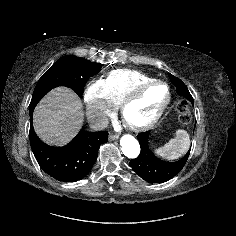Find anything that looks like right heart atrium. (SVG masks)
Returning <instances> with one entry per match:
<instances>
[{
  "instance_id": "obj_1",
  "label": "right heart atrium",
  "mask_w": 236,
  "mask_h": 236,
  "mask_svg": "<svg viewBox=\"0 0 236 236\" xmlns=\"http://www.w3.org/2000/svg\"><path fill=\"white\" fill-rule=\"evenodd\" d=\"M84 102L87 117L96 127L102 126L115 109L107 97L106 84L102 79L91 81L87 85Z\"/></svg>"
}]
</instances>
